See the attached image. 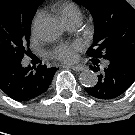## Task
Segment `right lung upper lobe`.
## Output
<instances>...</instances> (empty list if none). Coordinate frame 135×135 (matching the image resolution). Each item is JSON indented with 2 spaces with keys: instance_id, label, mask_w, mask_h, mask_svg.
Instances as JSON below:
<instances>
[{
  "instance_id": "obj_1",
  "label": "right lung upper lobe",
  "mask_w": 135,
  "mask_h": 135,
  "mask_svg": "<svg viewBox=\"0 0 135 135\" xmlns=\"http://www.w3.org/2000/svg\"><path fill=\"white\" fill-rule=\"evenodd\" d=\"M29 5L38 7L44 0H25Z\"/></svg>"
}]
</instances>
